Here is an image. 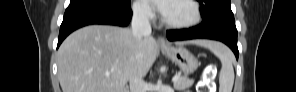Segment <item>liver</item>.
<instances>
[{
  "label": "liver",
  "mask_w": 296,
  "mask_h": 92,
  "mask_svg": "<svg viewBox=\"0 0 296 92\" xmlns=\"http://www.w3.org/2000/svg\"><path fill=\"white\" fill-rule=\"evenodd\" d=\"M210 43L194 40L176 44ZM157 53L151 36L137 42L129 28L90 25L73 32L61 44L58 79L63 92H122L133 75L144 77L148 73Z\"/></svg>",
  "instance_id": "liver-1"
}]
</instances>
